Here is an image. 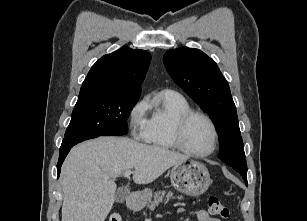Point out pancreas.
Here are the masks:
<instances>
[{
    "label": "pancreas",
    "mask_w": 307,
    "mask_h": 221,
    "mask_svg": "<svg viewBox=\"0 0 307 221\" xmlns=\"http://www.w3.org/2000/svg\"><path fill=\"white\" fill-rule=\"evenodd\" d=\"M166 193L164 191H158L154 194L153 196V200H150L148 205H147V208H149L150 210H154L156 208V206H158L160 203H162L163 201V197ZM166 202H168L170 199H174V195H173V192H168L166 194ZM178 199H182V196H178L177 197Z\"/></svg>",
    "instance_id": "pancreas-1"
}]
</instances>
